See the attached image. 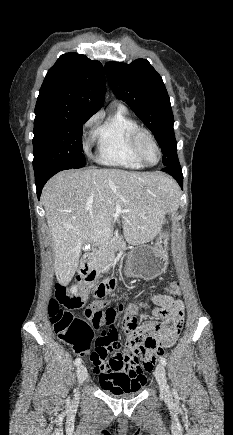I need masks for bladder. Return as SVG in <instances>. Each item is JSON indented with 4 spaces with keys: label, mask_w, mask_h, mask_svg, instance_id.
I'll return each instance as SVG.
<instances>
[{
    "label": "bladder",
    "mask_w": 233,
    "mask_h": 435,
    "mask_svg": "<svg viewBox=\"0 0 233 435\" xmlns=\"http://www.w3.org/2000/svg\"><path fill=\"white\" fill-rule=\"evenodd\" d=\"M144 386L145 383L143 382L140 384H135L133 385V389L130 392H126V393H118L108 388H103L102 391L104 394L109 395L116 399H128L139 395L143 391Z\"/></svg>",
    "instance_id": "1"
}]
</instances>
